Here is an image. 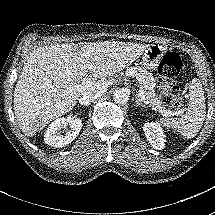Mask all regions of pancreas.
Listing matches in <instances>:
<instances>
[{
    "label": "pancreas",
    "mask_w": 215,
    "mask_h": 215,
    "mask_svg": "<svg viewBox=\"0 0 215 215\" xmlns=\"http://www.w3.org/2000/svg\"><path fill=\"white\" fill-rule=\"evenodd\" d=\"M127 71L134 72V75L137 79L140 78V85L144 90L145 93V100L149 104L150 107H152L156 112L161 113L163 110H165V105L163 102L158 98L156 95L154 89L152 88V74L147 71L146 69H143L140 66L136 67H129Z\"/></svg>",
    "instance_id": "pancreas-1"
}]
</instances>
